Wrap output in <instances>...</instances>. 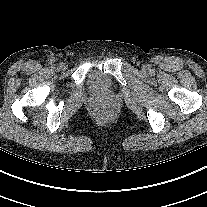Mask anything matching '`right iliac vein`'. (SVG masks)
Listing matches in <instances>:
<instances>
[{"label":"right iliac vein","instance_id":"63e3f726","mask_svg":"<svg viewBox=\"0 0 207 207\" xmlns=\"http://www.w3.org/2000/svg\"><path fill=\"white\" fill-rule=\"evenodd\" d=\"M60 69L65 70V69H66V65H65L64 63H62V64L60 65Z\"/></svg>","mask_w":207,"mask_h":207}]
</instances>
